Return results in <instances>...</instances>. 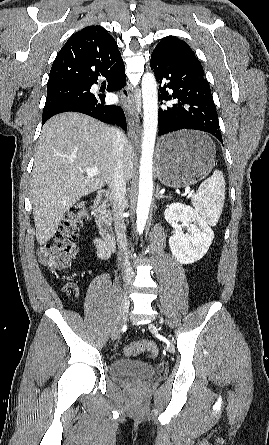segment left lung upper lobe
<instances>
[{
  "label": "left lung upper lobe",
  "instance_id": "5c2ea615",
  "mask_svg": "<svg viewBox=\"0 0 269 445\" xmlns=\"http://www.w3.org/2000/svg\"><path fill=\"white\" fill-rule=\"evenodd\" d=\"M153 54L173 59L196 58L190 46L175 36L162 38L155 47Z\"/></svg>",
  "mask_w": 269,
  "mask_h": 445
}]
</instances>
